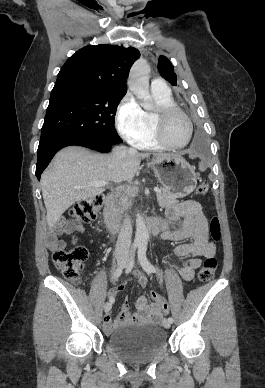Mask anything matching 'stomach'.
<instances>
[{
	"label": "stomach",
	"instance_id": "stomach-1",
	"mask_svg": "<svg viewBox=\"0 0 265 388\" xmlns=\"http://www.w3.org/2000/svg\"><path fill=\"white\" fill-rule=\"evenodd\" d=\"M151 166L163 188L176 198L185 197L196 188L195 169L181 156H156Z\"/></svg>",
	"mask_w": 265,
	"mask_h": 388
}]
</instances>
